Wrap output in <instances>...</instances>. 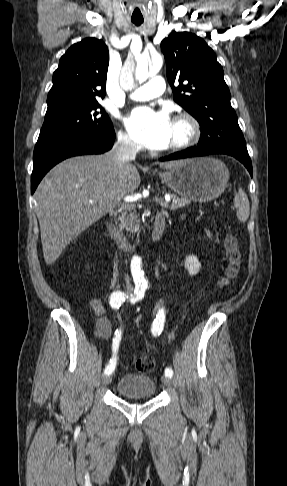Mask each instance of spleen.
<instances>
[{
	"instance_id": "obj_1",
	"label": "spleen",
	"mask_w": 287,
	"mask_h": 486,
	"mask_svg": "<svg viewBox=\"0 0 287 486\" xmlns=\"http://www.w3.org/2000/svg\"><path fill=\"white\" fill-rule=\"evenodd\" d=\"M234 206L237 209L236 216L240 222L247 221L250 214V205L246 193L242 188L234 196Z\"/></svg>"
}]
</instances>
